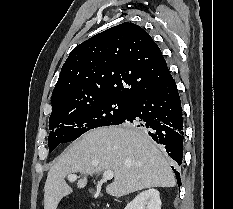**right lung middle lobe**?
I'll return each instance as SVG.
<instances>
[{
    "instance_id": "obj_1",
    "label": "right lung middle lobe",
    "mask_w": 233,
    "mask_h": 209,
    "mask_svg": "<svg viewBox=\"0 0 233 209\" xmlns=\"http://www.w3.org/2000/svg\"><path fill=\"white\" fill-rule=\"evenodd\" d=\"M130 103L131 101L125 99L109 98L67 112L51 114L49 153L60 143L74 141L90 129L120 123L126 117Z\"/></svg>"
}]
</instances>
